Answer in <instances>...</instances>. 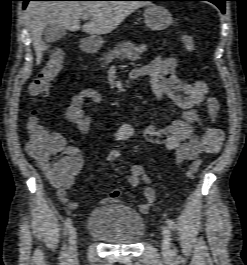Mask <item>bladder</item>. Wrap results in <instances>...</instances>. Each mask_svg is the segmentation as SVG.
Masks as SVG:
<instances>
[{
    "instance_id": "obj_1",
    "label": "bladder",
    "mask_w": 247,
    "mask_h": 265,
    "mask_svg": "<svg viewBox=\"0 0 247 265\" xmlns=\"http://www.w3.org/2000/svg\"><path fill=\"white\" fill-rule=\"evenodd\" d=\"M87 233L109 244L132 245L145 232L143 217L121 204H109L93 209L87 220Z\"/></svg>"
}]
</instances>
